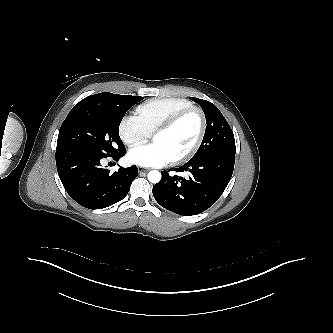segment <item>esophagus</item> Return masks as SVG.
<instances>
[{
	"label": "esophagus",
	"instance_id": "1",
	"mask_svg": "<svg viewBox=\"0 0 333 333\" xmlns=\"http://www.w3.org/2000/svg\"><path fill=\"white\" fill-rule=\"evenodd\" d=\"M138 172H139V174L147 173V172H148V169H145V168L139 167V168H138Z\"/></svg>",
	"mask_w": 333,
	"mask_h": 333
}]
</instances>
